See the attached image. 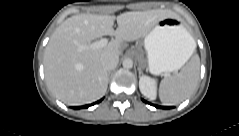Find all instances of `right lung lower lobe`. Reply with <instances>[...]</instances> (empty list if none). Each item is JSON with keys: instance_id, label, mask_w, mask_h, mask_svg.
<instances>
[{"instance_id": "1", "label": "right lung lower lobe", "mask_w": 239, "mask_h": 136, "mask_svg": "<svg viewBox=\"0 0 239 136\" xmlns=\"http://www.w3.org/2000/svg\"><path fill=\"white\" fill-rule=\"evenodd\" d=\"M101 100H99L98 102H95L94 104L99 103ZM93 104H89V105H85V106H79V107H74L75 109H80V108H88L89 106H92Z\"/></svg>"}]
</instances>
